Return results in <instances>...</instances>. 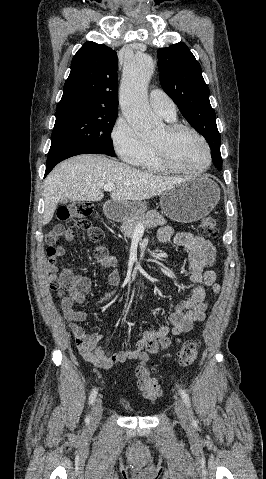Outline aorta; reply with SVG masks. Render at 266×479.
<instances>
[{"label":"aorta","mask_w":266,"mask_h":479,"mask_svg":"<svg viewBox=\"0 0 266 479\" xmlns=\"http://www.w3.org/2000/svg\"><path fill=\"white\" fill-rule=\"evenodd\" d=\"M154 64L151 56L135 55L124 65L120 86V104L123 115L139 135H148L161 126V120L149 107L146 90Z\"/></svg>","instance_id":"obj_1"}]
</instances>
